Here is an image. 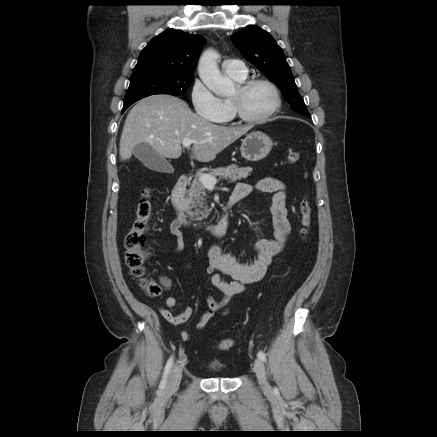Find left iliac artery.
I'll use <instances>...</instances> for the list:
<instances>
[{
  "mask_svg": "<svg viewBox=\"0 0 437 437\" xmlns=\"http://www.w3.org/2000/svg\"><path fill=\"white\" fill-rule=\"evenodd\" d=\"M258 358L261 359L263 362H266V355L264 354V352L259 351L257 354Z\"/></svg>",
  "mask_w": 437,
  "mask_h": 437,
  "instance_id": "44dca946",
  "label": "left iliac artery"
}]
</instances>
